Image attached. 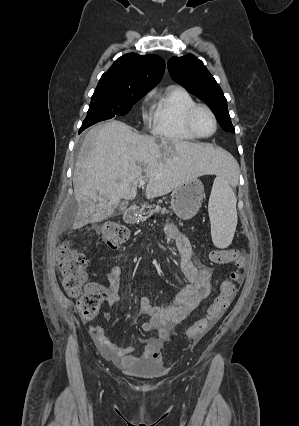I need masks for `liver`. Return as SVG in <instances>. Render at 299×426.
Returning a JSON list of instances; mask_svg holds the SVG:
<instances>
[{
	"mask_svg": "<svg viewBox=\"0 0 299 426\" xmlns=\"http://www.w3.org/2000/svg\"><path fill=\"white\" fill-rule=\"evenodd\" d=\"M236 165L232 155L208 143L139 135L121 121L92 128L82 143L73 174L78 212L74 229L102 222L120 200H134L140 180L146 197L170 193L204 174H225Z\"/></svg>",
	"mask_w": 299,
	"mask_h": 426,
	"instance_id": "6515ba94",
	"label": "liver"
}]
</instances>
